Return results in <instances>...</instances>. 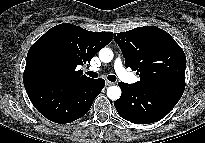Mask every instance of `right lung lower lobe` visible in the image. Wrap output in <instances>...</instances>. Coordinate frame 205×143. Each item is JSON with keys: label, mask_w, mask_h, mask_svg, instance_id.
<instances>
[{"label": "right lung lower lobe", "mask_w": 205, "mask_h": 143, "mask_svg": "<svg viewBox=\"0 0 205 143\" xmlns=\"http://www.w3.org/2000/svg\"><path fill=\"white\" fill-rule=\"evenodd\" d=\"M24 86L34 107L50 121L62 124L84 116L105 81L102 78L67 81L35 76L24 79Z\"/></svg>", "instance_id": "98d812e1"}]
</instances>
